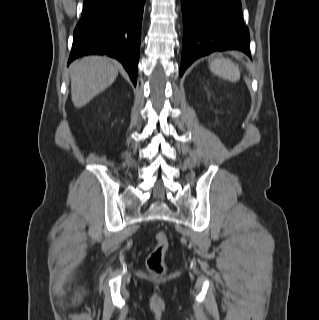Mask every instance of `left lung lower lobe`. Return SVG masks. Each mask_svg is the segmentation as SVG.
Instances as JSON below:
<instances>
[{
    "label": "left lung lower lobe",
    "instance_id": "1",
    "mask_svg": "<svg viewBox=\"0 0 319 320\" xmlns=\"http://www.w3.org/2000/svg\"><path fill=\"white\" fill-rule=\"evenodd\" d=\"M183 46L180 75L197 58L238 50L250 56L249 30L240 0H181Z\"/></svg>",
    "mask_w": 319,
    "mask_h": 320
}]
</instances>
